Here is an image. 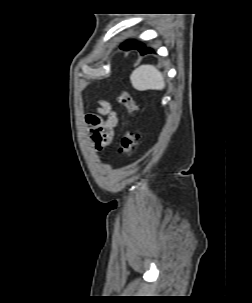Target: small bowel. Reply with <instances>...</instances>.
Segmentation results:
<instances>
[{"label": "small bowel", "instance_id": "small-bowel-1", "mask_svg": "<svg viewBox=\"0 0 252 303\" xmlns=\"http://www.w3.org/2000/svg\"><path fill=\"white\" fill-rule=\"evenodd\" d=\"M116 122L117 116L111 111L108 112L106 119L95 114L87 117L91 140L97 151H101L112 142Z\"/></svg>", "mask_w": 252, "mask_h": 303}]
</instances>
